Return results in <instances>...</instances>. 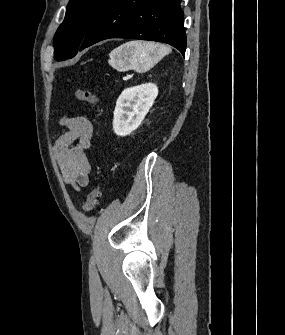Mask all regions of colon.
Instances as JSON below:
<instances>
[{
	"instance_id": "5ec220e1",
	"label": "colon",
	"mask_w": 285,
	"mask_h": 335,
	"mask_svg": "<svg viewBox=\"0 0 285 335\" xmlns=\"http://www.w3.org/2000/svg\"><path fill=\"white\" fill-rule=\"evenodd\" d=\"M75 96L79 101L88 103L91 105L97 104L100 100V97L98 94L90 92V91H85L82 89H76ZM99 196H100V186L96 185L87 195L86 201L83 205V211L88 212L94 209L95 206L97 205Z\"/></svg>"
}]
</instances>
